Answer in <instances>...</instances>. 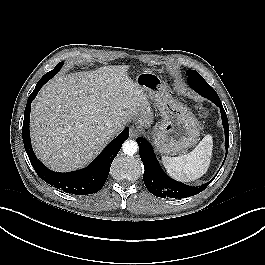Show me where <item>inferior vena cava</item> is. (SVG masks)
<instances>
[{
	"label": "inferior vena cava",
	"instance_id": "inferior-vena-cava-1",
	"mask_svg": "<svg viewBox=\"0 0 265 265\" xmlns=\"http://www.w3.org/2000/svg\"><path fill=\"white\" fill-rule=\"evenodd\" d=\"M115 127L114 126H109L107 129H106V132L108 135H114L115 134Z\"/></svg>",
	"mask_w": 265,
	"mask_h": 265
}]
</instances>
